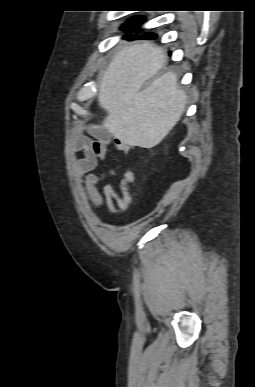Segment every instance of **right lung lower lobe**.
I'll list each match as a JSON object with an SVG mask.
<instances>
[{"instance_id":"obj_1","label":"right lung lower lobe","mask_w":255,"mask_h":387,"mask_svg":"<svg viewBox=\"0 0 255 387\" xmlns=\"http://www.w3.org/2000/svg\"><path fill=\"white\" fill-rule=\"evenodd\" d=\"M153 34V33H152ZM155 35V34H153ZM155 36H150V33L143 34L141 36H130V39H154Z\"/></svg>"}]
</instances>
